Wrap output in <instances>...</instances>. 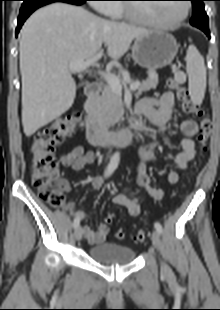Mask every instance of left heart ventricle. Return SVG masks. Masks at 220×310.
<instances>
[{
	"mask_svg": "<svg viewBox=\"0 0 220 310\" xmlns=\"http://www.w3.org/2000/svg\"><path fill=\"white\" fill-rule=\"evenodd\" d=\"M138 15L152 18L160 22H170L178 18L183 12V3H156L138 5L135 7Z\"/></svg>",
	"mask_w": 220,
	"mask_h": 310,
	"instance_id": "b2bd125f",
	"label": "left heart ventricle"
}]
</instances>
